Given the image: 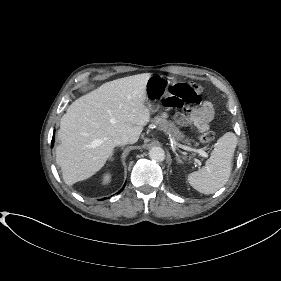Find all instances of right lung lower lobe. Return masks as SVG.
<instances>
[{
	"label": "right lung lower lobe",
	"instance_id": "obj_1",
	"mask_svg": "<svg viewBox=\"0 0 281 281\" xmlns=\"http://www.w3.org/2000/svg\"><path fill=\"white\" fill-rule=\"evenodd\" d=\"M53 145H54V138L52 139V143H51V146H53ZM124 187H125V185L123 186V188L118 193H120L124 189Z\"/></svg>",
	"mask_w": 281,
	"mask_h": 281
}]
</instances>
